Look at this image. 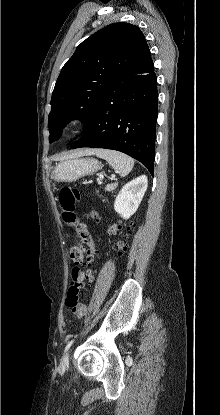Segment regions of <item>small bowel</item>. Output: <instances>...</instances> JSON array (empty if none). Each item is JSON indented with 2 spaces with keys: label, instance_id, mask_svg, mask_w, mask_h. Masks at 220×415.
Segmentation results:
<instances>
[{
  "label": "small bowel",
  "instance_id": "small-bowel-1",
  "mask_svg": "<svg viewBox=\"0 0 220 415\" xmlns=\"http://www.w3.org/2000/svg\"><path fill=\"white\" fill-rule=\"evenodd\" d=\"M80 271V275H81V277H82V280L84 281V279H85V270H79ZM71 310H72V312L78 317V318H83L84 316H85V314H81V313H79L78 312V310L77 309H75V308H70Z\"/></svg>",
  "mask_w": 220,
  "mask_h": 415
}]
</instances>
